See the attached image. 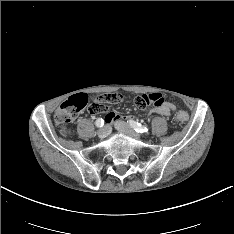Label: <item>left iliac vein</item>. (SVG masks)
Segmentation results:
<instances>
[{
	"mask_svg": "<svg viewBox=\"0 0 234 234\" xmlns=\"http://www.w3.org/2000/svg\"><path fill=\"white\" fill-rule=\"evenodd\" d=\"M115 128L120 131V132H123V133H126L127 135L137 139V140H140L141 139V136L140 134L136 133L131 126H129L127 123L123 122V121H116L115 122Z\"/></svg>",
	"mask_w": 234,
	"mask_h": 234,
	"instance_id": "1",
	"label": "left iliac vein"
}]
</instances>
